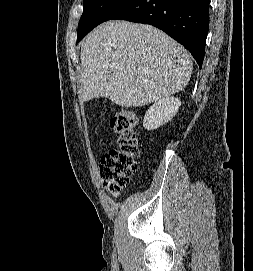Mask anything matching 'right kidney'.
I'll return each instance as SVG.
<instances>
[{
    "label": "right kidney",
    "mask_w": 253,
    "mask_h": 271,
    "mask_svg": "<svg viewBox=\"0 0 253 271\" xmlns=\"http://www.w3.org/2000/svg\"><path fill=\"white\" fill-rule=\"evenodd\" d=\"M180 105V100L173 96L155 102L144 116L143 127L147 130L159 128L176 115Z\"/></svg>",
    "instance_id": "1"
}]
</instances>
